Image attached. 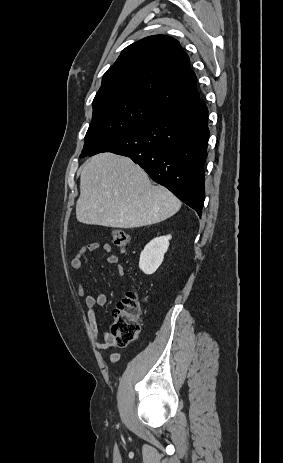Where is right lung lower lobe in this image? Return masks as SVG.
I'll list each match as a JSON object with an SVG mask.
<instances>
[{"label": "right lung lower lobe", "mask_w": 283, "mask_h": 463, "mask_svg": "<svg viewBox=\"0 0 283 463\" xmlns=\"http://www.w3.org/2000/svg\"><path fill=\"white\" fill-rule=\"evenodd\" d=\"M207 115L208 109L199 97L174 104L89 155L113 152L130 157L201 217L209 138Z\"/></svg>", "instance_id": "right-lung-lower-lobe-1"}]
</instances>
